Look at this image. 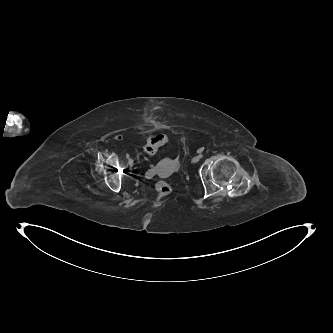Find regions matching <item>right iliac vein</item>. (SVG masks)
Returning <instances> with one entry per match:
<instances>
[{
    "label": "right iliac vein",
    "instance_id": "1",
    "mask_svg": "<svg viewBox=\"0 0 333 333\" xmlns=\"http://www.w3.org/2000/svg\"><path fill=\"white\" fill-rule=\"evenodd\" d=\"M128 164H129L130 166L133 165V159H132V158L129 159Z\"/></svg>",
    "mask_w": 333,
    "mask_h": 333
}]
</instances>
